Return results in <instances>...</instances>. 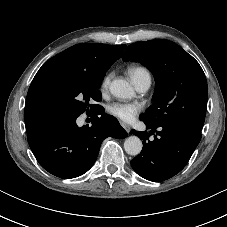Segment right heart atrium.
Instances as JSON below:
<instances>
[{
  "label": "right heart atrium",
  "mask_w": 227,
  "mask_h": 227,
  "mask_svg": "<svg viewBox=\"0 0 227 227\" xmlns=\"http://www.w3.org/2000/svg\"><path fill=\"white\" fill-rule=\"evenodd\" d=\"M112 78V73H107L101 80L100 89L102 92H105L110 84Z\"/></svg>",
  "instance_id": "d8ad5b80"
}]
</instances>
